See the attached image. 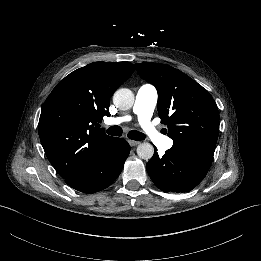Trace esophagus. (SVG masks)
I'll list each match as a JSON object with an SVG mask.
<instances>
[{"instance_id": "esophagus-1", "label": "esophagus", "mask_w": 261, "mask_h": 261, "mask_svg": "<svg viewBox=\"0 0 261 261\" xmlns=\"http://www.w3.org/2000/svg\"><path fill=\"white\" fill-rule=\"evenodd\" d=\"M130 146H137L138 144H140V141H133V140H128Z\"/></svg>"}]
</instances>
